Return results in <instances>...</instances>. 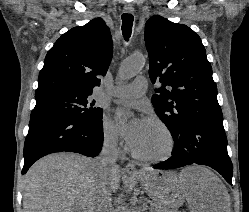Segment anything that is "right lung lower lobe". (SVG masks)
Returning a JSON list of instances; mask_svg holds the SVG:
<instances>
[{"instance_id": "obj_1", "label": "right lung lower lobe", "mask_w": 249, "mask_h": 212, "mask_svg": "<svg viewBox=\"0 0 249 212\" xmlns=\"http://www.w3.org/2000/svg\"><path fill=\"white\" fill-rule=\"evenodd\" d=\"M102 146V120L82 121L61 115L33 118L30 120L24 145L22 174L47 154L65 151L95 157Z\"/></svg>"}]
</instances>
